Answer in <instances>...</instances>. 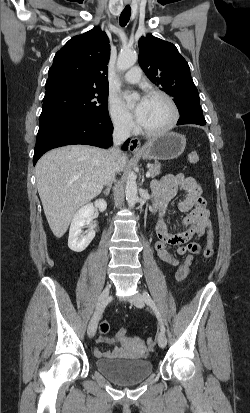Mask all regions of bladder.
I'll use <instances>...</instances> for the list:
<instances>
[{
	"label": "bladder",
	"instance_id": "obj_1",
	"mask_svg": "<svg viewBox=\"0 0 250 413\" xmlns=\"http://www.w3.org/2000/svg\"><path fill=\"white\" fill-rule=\"evenodd\" d=\"M94 364L103 375L120 385L139 383L153 371L152 362L148 359L100 357Z\"/></svg>",
	"mask_w": 250,
	"mask_h": 413
}]
</instances>
